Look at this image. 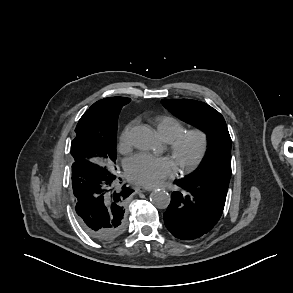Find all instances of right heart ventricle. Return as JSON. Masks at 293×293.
Segmentation results:
<instances>
[{
  "label": "right heart ventricle",
  "instance_id": "right-heart-ventricle-1",
  "mask_svg": "<svg viewBox=\"0 0 293 293\" xmlns=\"http://www.w3.org/2000/svg\"><path fill=\"white\" fill-rule=\"evenodd\" d=\"M157 130L166 142H170L186 130L185 125L172 116H159L155 119Z\"/></svg>",
  "mask_w": 293,
  "mask_h": 293
}]
</instances>
